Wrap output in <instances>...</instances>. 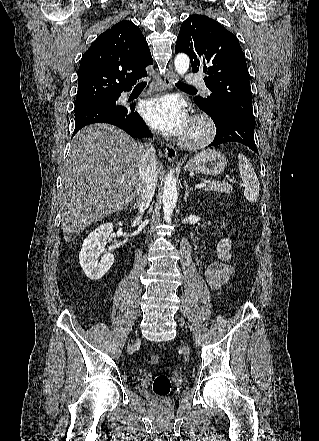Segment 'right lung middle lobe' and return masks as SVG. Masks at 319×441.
<instances>
[{
    "instance_id": "obj_1",
    "label": "right lung middle lobe",
    "mask_w": 319,
    "mask_h": 441,
    "mask_svg": "<svg viewBox=\"0 0 319 441\" xmlns=\"http://www.w3.org/2000/svg\"><path fill=\"white\" fill-rule=\"evenodd\" d=\"M116 100V97H111V98H105V99H100V100H92V101H80V102H75V111H78L82 108L91 106V105H95V104H105V103H110Z\"/></svg>"
}]
</instances>
